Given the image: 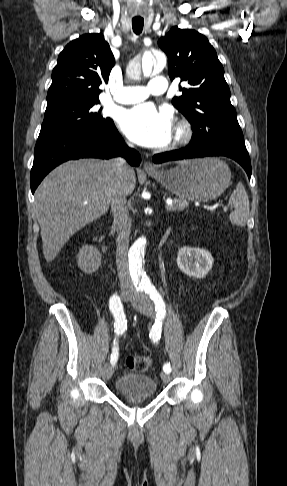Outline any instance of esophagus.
Returning a JSON list of instances; mask_svg holds the SVG:
<instances>
[{
  "instance_id": "obj_1",
  "label": "esophagus",
  "mask_w": 287,
  "mask_h": 486,
  "mask_svg": "<svg viewBox=\"0 0 287 486\" xmlns=\"http://www.w3.org/2000/svg\"><path fill=\"white\" fill-rule=\"evenodd\" d=\"M143 168L145 171L147 172H153V171H156V167L154 165H152L150 162L148 161H145L144 162V165H143Z\"/></svg>"
}]
</instances>
